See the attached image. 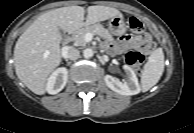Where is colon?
<instances>
[{
  "mask_svg": "<svg viewBox=\"0 0 194 133\" xmlns=\"http://www.w3.org/2000/svg\"><path fill=\"white\" fill-rule=\"evenodd\" d=\"M129 27L130 30L135 34H141L144 32L143 23L136 17H131L129 19ZM140 49L141 47L133 51H128L124 56L125 62L137 71L140 70L144 61V54L141 53Z\"/></svg>",
  "mask_w": 194,
  "mask_h": 133,
  "instance_id": "obj_1",
  "label": "colon"
}]
</instances>
